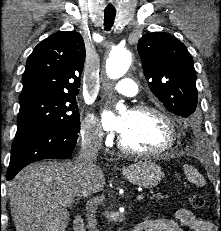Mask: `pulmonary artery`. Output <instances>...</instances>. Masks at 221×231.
Here are the masks:
<instances>
[{"label": "pulmonary artery", "mask_w": 221, "mask_h": 231, "mask_svg": "<svg viewBox=\"0 0 221 231\" xmlns=\"http://www.w3.org/2000/svg\"><path fill=\"white\" fill-rule=\"evenodd\" d=\"M112 88L119 94L128 97H134L138 94L136 83L129 78H124L113 84Z\"/></svg>", "instance_id": "obj_1"}]
</instances>
